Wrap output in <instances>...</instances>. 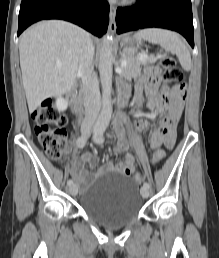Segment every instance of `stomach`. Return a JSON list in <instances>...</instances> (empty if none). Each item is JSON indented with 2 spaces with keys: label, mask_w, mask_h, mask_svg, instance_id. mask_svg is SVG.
I'll return each mask as SVG.
<instances>
[{
  "label": "stomach",
  "mask_w": 219,
  "mask_h": 258,
  "mask_svg": "<svg viewBox=\"0 0 219 258\" xmlns=\"http://www.w3.org/2000/svg\"><path fill=\"white\" fill-rule=\"evenodd\" d=\"M121 47L123 54L125 56L133 57L134 54L137 52V47L135 46V40L131 37L123 38L121 42Z\"/></svg>",
  "instance_id": "obj_1"
}]
</instances>
